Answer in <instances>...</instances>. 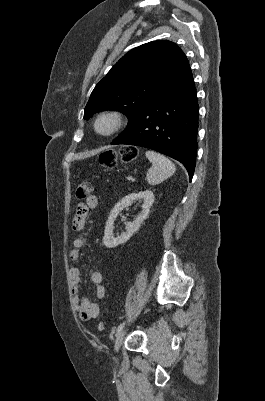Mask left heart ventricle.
Here are the masks:
<instances>
[{
  "label": "left heart ventricle",
  "mask_w": 265,
  "mask_h": 401,
  "mask_svg": "<svg viewBox=\"0 0 265 401\" xmlns=\"http://www.w3.org/2000/svg\"><path fill=\"white\" fill-rule=\"evenodd\" d=\"M109 122L104 120L100 123L99 128L101 131H107L109 129Z\"/></svg>",
  "instance_id": "obj_1"
}]
</instances>
